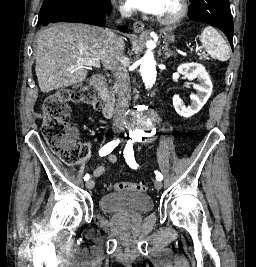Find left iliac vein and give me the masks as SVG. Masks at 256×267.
<instances>
[{
    "label": "left iliac vein",
    "instance_id": "left-iliac-vein-1",
    "mask_svg": "<svg viewBox=\"0 0 256 267\" xmlns=\"http://www.w3.org/2000/svg\"><path fill=\"white\" fill-rule=\"evenodd\" d=\"M154 186H155V188L157 190H161V188H162V182L159 181V180H157V181L154 182Z\"/></svg>",
    "mask_w": 256,
    "mask_h": 267
}]
</instances>
